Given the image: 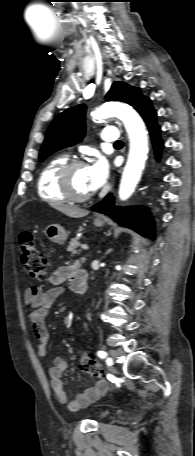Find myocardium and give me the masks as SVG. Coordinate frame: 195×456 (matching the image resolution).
Here are the masks:
<instances>
[{
  "mask_svg": "<svg viewBox=\"0 0 195 456\" xmlns=\"http://www.w3.org/2000/svg\"><path fill=\"white\" fill-rule=\"evenodd\" d=\"M86 162L82 160H70L62 168L59 170L58 173V185L61 192L64 196L71 201L74 202H85L89 200L93 193L89 194H79L77 193L72 185V174L73 171L80 167H86Z\"/></svg>",
  "mask_w": 195,
  "mask_h": 456,
  "instance_id": "1",
  "label": "myocardium"
}]
</instances>
